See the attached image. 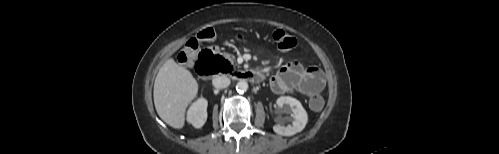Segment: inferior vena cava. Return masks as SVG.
I'll list each match as a JSON object with an SVG mask.
<instances>
[{
  "label": "inferior vena cava",
  "instance_id": "obj_1",
  "mask_svg": "<svg viewBox=\"0 0 499 154\" xmlns=\"http://www.w3.org/2000/svg\"><path fill=\"white\" fill-rule=\"evenodd\" d=\"M212 83L216 88L222 89V88L228 87L230 85L231 81L228 77L223 75V76H218V77L214 78L212 80Z\"/></svg>",
  "mask_w": 499,
  "mask_h": 154
}]
</instances>
